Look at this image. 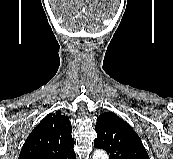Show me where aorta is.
Instances as JSON below:
<instances>
[{
  "label": "aorta",
  "instance_id": "1",
  "mask_svg": "<svg viewBox=\"0 0 173 159\" xmlns=\"http://www.w3.org/2000/svg\"><path fill=\"white\" fill-rule=\"evenodd\" d=\"M92 159H109V157L104 150H96L93 153Z\"/></svg>",
  "mask_w": 173,
  "mask_h": 159
}]
</instances>
